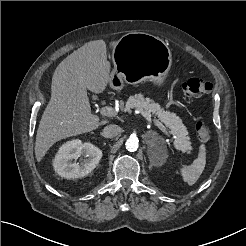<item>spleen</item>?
I'll return each mask as SVG.
<instances>
[{"label": "spleen", "mask_w": 246, "mask_h": 246, "mask_svg": "<svg viewBox=\"0 0 246 246\" xmlns=\"http://www.w3.org/2000/svg\"><path fill=\"white\" fill-rule=\"evenodd\" d=\"M206 164V148L205 145L202 144L199 147L198 157L193 161L190 165H184L181 168V174L183 176V180L188 185H193L197 182L200 175L202 174Z\"/></svg>", "instance_id": "3e777b00"}]
</instances>
